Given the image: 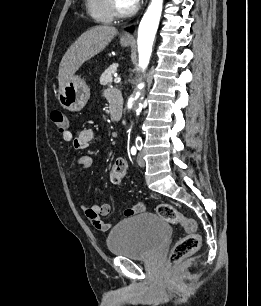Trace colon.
<instances>
[{
  "label": "colon",
  "instance_id": "colon-1",
  "mask_svg": "<svg viewBox=\"0 0 261 306\" xmlns=\"http://www.w3.org/2000/svg\"><path fill=\"white\" fill-rule=\"evenodd\" d=\"M50 118L58 132L64 133L67 130L68 122L61 110L53 109L50 113ZM126 170L127 163L125 159H117L110 169L112 183L119 184L124 179ZM156 212L167 223L180 226L186 233L171 250L169 257L171 264L181 261L200 247L201 238L197 232V223L193 218L185 216L176 207L168 203L159 204Z\"/></svg>",
  "mask_w": 261,
  "mask_h": 306
}]
</instances>
